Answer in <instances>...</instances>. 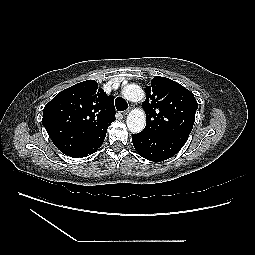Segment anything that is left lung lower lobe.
I'll return each instance as SVG.
<instances>
[{"mask_svg": "<svg viewBox=\"0 0 255 255\" xmlns=\"http://www.w3.org/2000/svg\"><path fill=\"white\" fill-rule=\"evenodd\" d=\"M188 136L173 133L140 132L132 142L140 156L153 162L171 158L184 146Z\"/></svg>", "mask_w": 255, "mask_h": 255, "instance_id": "obj_1", "label": "left lung lower lobe"}]
</instances>
